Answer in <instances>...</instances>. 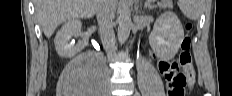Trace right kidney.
<instances>
[{"mask_svg": "<svg viewBox=\"0 0 232 96\" xmlns=\"http://www.w3.org/2000/svg\"><path fill=\"white\" fill-rule=\"evenodd\" d=\"M81 22L77 19L69 20L57 32L54 43L57 53L63 58H72L88 43V36L81 32ZM72 37H81L77 44L69 43Z\"/></svg>", "mask_w": 232, "mask_h": 96, "instance_id": "ca27d5eb", "label": "right kidney"}]
</instances>
